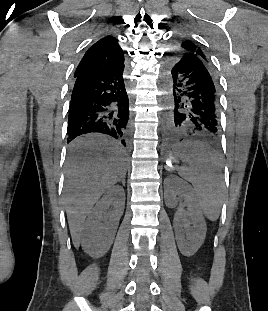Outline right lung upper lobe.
I'll use <instances>...</instances> for the list:
<instances>
[{
    "instance_id": "obj_1",
    "label": "right lung upper lobe",
    "mask_w": 268,
    "mask_h": 311,
    "mask_svg": "<svg viewBox=\"0 0 268 311\" xmlns=\"http://www.w3.org/2000/svg\"><path fill=\"white\" fill-rule=\"evenodd\" d=\"M123 65V50L119 46L117 38L108 35L101 38L86 51L74 76L87 72L108 71Z\"/></svg>"
}]
</instances>
